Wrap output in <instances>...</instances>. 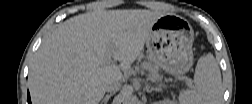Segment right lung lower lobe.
<instances>
[{"label": "right lung lower lobe", "instance_id": "1", "mask_svg": "<svg viewBox=\"0 0 252 104\" xmlns=\"http://www.w3.org/2000/svg\"><path fill=\"white\" fill-rule=\"evenodd\" d=\"M28 103L31 104L29 92H28Z\"/></svg>", "mask_w": 252, "mask_h": 104}]
</instances>
